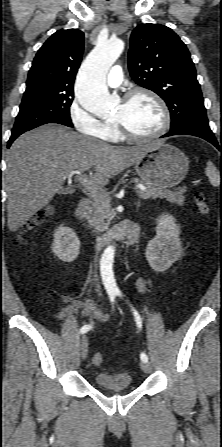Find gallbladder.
<instances>
[{"label": "gallbladder", "instance_id": "gallbladder-1", "mask_svg": "<svg viewBox=\"0 0 222 447\" xmlns=\"http://www.w3.org/2000/svg\"><path fill=\"white\" fill-rule=\"evenodd\" d=\"M71 192L70 188H63L59 191V194H68Z\"/></svg>", "mask_w": 222, "mask_h": 447}]
</instances>
